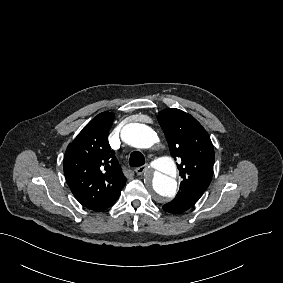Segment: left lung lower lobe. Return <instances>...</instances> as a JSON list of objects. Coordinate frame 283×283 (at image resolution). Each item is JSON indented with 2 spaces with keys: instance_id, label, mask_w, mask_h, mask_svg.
I'll return each mask as SVG.
<instances>
[{
  "instance_id": "obj_1",
  "label": "left lung lower lobe",
  "mask_w": 283,
  "mask_h": 283,
  "mask_svg": "<svg viewBox=\"0 0 283 283\" xmlns=\"http://www.w3.org/2000/svg\"><path fill=\"white\" fill-rule=\"evenodd\" d=\"M193 205L190 203H178V204H172L167 203L162 208L164 211L174 214L183 213L184 211L191 208Z\"/></svg>"
}]
</instances>
